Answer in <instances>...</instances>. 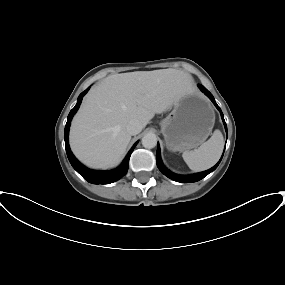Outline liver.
Here are the masks:
<instances>
[{"label":"liver","instance_id":"6515ba94","mask_svg":"<svg viewBox=\"0 0 285 285\" xmlns=\"http://www.w3.org/2000/svg\"><path fill=\"white\" fill-rule=\"evenodd\" d=\"M194 92L191 75L177 69L110 75L88 92L73 118L71 149L89 167L113 166L131 140L129 121L138 120L144 128L155 114Z\"/></svg>","mask_w":285,"mask_h":285}]
</instances>
